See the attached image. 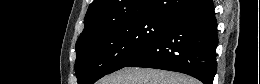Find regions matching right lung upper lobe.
Wrapping results in <instances>:
<instances>
[{"instance_id": "right-lung-upper-lobe-1", "label": "right lung upper lobe", "mask_w": 260, "mask_h": 84, "mask_svg": "<svg viewBox=\"0 0 260 84\" xmlns=\"http://www.w3.org/2000/svg\"><path fill=\"white\" fill-rule=\"evenodd\" d=\"M199 0H94L85 16V28L76 46L100 36L108 27L142 16L172 18Z\"/></svg>"}]
</instances>
